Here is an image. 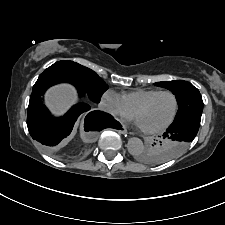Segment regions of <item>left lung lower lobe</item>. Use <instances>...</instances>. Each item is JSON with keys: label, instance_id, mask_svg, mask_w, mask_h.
<instances>
[{"label": "left lung lower lobe", "instance_id": "1", "mask_svg": "<svg viewBox=\"0 0 225 225\" xmlns=\"http://www.w3.org/2000/svg\"><path fill=\"white\" fill-rule=\"evenodd\" d=\"M201 115V112H193L175 119L163 136L190 143L199 130ZM182 149L183 145H175L171 150L172 155L168 159H172L182 153Z\"/></svg>", "mask_w": 225, "mask_h": 225}]
</instances>
